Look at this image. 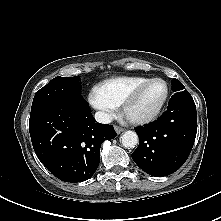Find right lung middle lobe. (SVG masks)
Wrapping results in <instances>:
<instances>
[{"label":"right lung middle lobe","mask_w":221,"mask_h":221,"mask_svg":"<svg viewBox=\"0 0 221 221\" xmlns=\"http://www.w3.org/2000/svg\"><path fill=\"white\" fill-rule=\"evenodd\" d=\"M79 81V76L52 79L36 92L31 108L57 98L81 96V83Z\"/></svg>","instance_id":"right-lung-middle-lobe-1"}]
</instances>
